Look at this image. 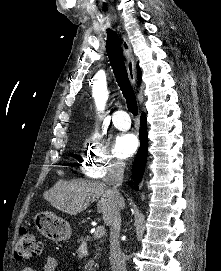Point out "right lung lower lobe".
<instances>
[{"label": "right lung lower lobe", "instance_id": "right-lung-lower-lobe-1", "mask_svg": "<svg viewBox=\"0 0 221 271\" xmlns=\"http://www.w3.org/2000/svg\"><path fill=\"white\" fill-rule=\"evenodd\" d=\"M139 138L141 144L132 166V178L136 182V184H134V188L136 190H139L138 183L142 179L147 160V122L145 113H142L141 115V130Z\"/></svg>", "mask_w": 221, "mask_h": 271}]
</instances>
